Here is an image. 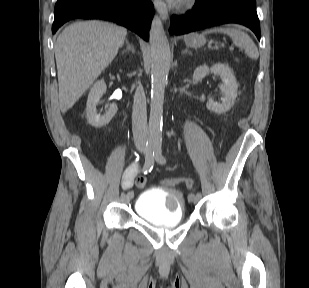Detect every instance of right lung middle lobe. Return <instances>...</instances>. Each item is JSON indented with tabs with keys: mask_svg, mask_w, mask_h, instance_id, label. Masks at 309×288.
Returning <instances> with one entry per match:
<instances>
[{
	"mask_svg": "<svg viewBox=\"0 0 309 288\" xmlns=\"http://www.w3.org/2000/svg\"><path fill=\"white\" fill-rule=\"evenodd\" d=\"M62 1H64V0H58L57 2L59 3V2H62Z\"/></svg>",
	"mask_w": 309,
	"mask_h": 288,
	"instance_id": "1",
	"label": "right lung middle lobe"
}]
</instances>
